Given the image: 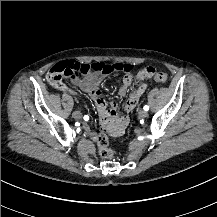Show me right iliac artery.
Listing matches in <instances>:
<instances>
[{
  "instance_id": "right-iliac-artery-1",
  "label": "right iliac artery",
  "mask_w": 217,
  "mask_h": 217,
  "mask_svg": "<svg viewBox=\"0 0 217 217\" xmlns=\"http://www.w3.org/2000/svg\"><path fill=\"white\" fill-rule=\"evenodd\" d=\"M83 120H84V121H89V120H90L89 115H84Z\"/></svg>"
}]
</instances>
